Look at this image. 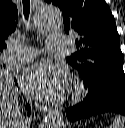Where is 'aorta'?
I'll return each mask as SVG.
<instances>
[{
    "label": "aorta",
    "instance_id": "1",
    "mask_svg": "<svg viewBox=\"0 0 125 128\" xmlns=\"http://www.w3.org/2000/svg\"><path fill=\"white\" fill-rule=\"evenodd\" d=\"M62 22L60 10L51 4L39 7L34 15V24L39 31H55ZM41 128H64L63 114L58 110L51 111L41 124Z\"/></svg>",
    "mask_w": 125,
    "mask_h": 128
}]
</instances>
